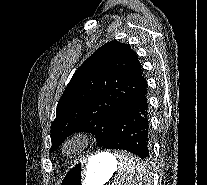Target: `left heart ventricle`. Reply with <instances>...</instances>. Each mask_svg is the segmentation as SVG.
Here are the masks:
<instances>
[{
	"instance_id": "b2bd125f",
	"label": "left heart ventricle",
	"mask_w": 207,
	"mask_h": 185,
	"mask_svg": "<svg viewBox=\"0 0 207 185\" xmlns=\"http://www.w3.org/2000/svg\"><path fill=\"white\" fill-rule=\"evenodd\" d=\"M73 150V147L72 146H69L68 148H67V151L68 152H71Z\"/></svg>"
}]
</instances>
